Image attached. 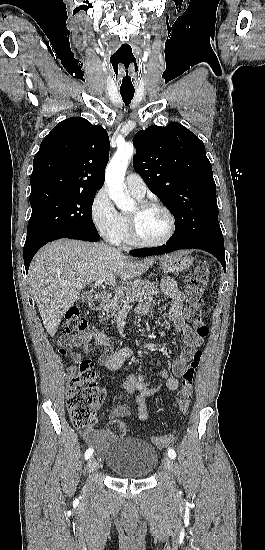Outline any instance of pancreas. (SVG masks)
I'll list each match as a JSON object with an SVG mask.
<instances>
[{
	"label": "pancreas",
	"mask_w": 265,
	"mask_h": 550,
	"mask_svg": "<svg viewBox=\"0 0 265 550\" xmlns=\"http://www.w3.org/2000/svg\"><path fill=\"white\" fill-rule=\"evenodd\" d=\"M158 293L155 283L143 281L141 279L130 282L115 297L110 299L104 306V312L107 317H116L125 307L124 301L128 298H136L141 301L151 302L153 296Z\"/></svg>",
	"instance_id": "pancreas-1"
}]
</instances>
